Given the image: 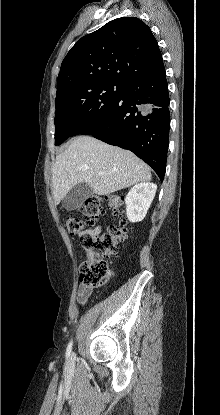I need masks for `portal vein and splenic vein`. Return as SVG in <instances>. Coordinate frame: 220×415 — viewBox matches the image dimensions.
Instances as JSON below:
<instances>
[{
	"instance_id": "18ae733b",
	"label": "portal vein and splenic vein",
	"mask_w": 220,
	"mask_h": 415,
	"mask_svg": "<svg viewBox=\"0 0 220 415\" xmlns=\"http://www.w3.org/2000/svg\"><path fill=\"white\" fill-rule=\"evenodd\" d=\"M104 173L103 172H99V175H103Z\"/></svg>"
}]
</instances>
